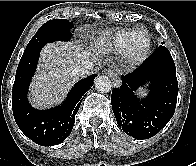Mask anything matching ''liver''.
I'll use <instances>...</instances> for the list:
<instances>
[{"label":"liver","mask_w":196,"mask_h":166,"mask_svg":"<svg viewBox=\"0 0 196 166\" xmlns=\"http://www.w3.org/2000/svg\"><path fill=\"white\" fill-rule=\"evenodd\" d=\"M97 55L98 52L94 53L74 43L46 44L30 86V103L37 108L59 103L79 78L73 74V70L84 62H96Z\"/></svg>","instance_id":"6515ba94"}]
</instances>
